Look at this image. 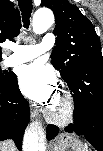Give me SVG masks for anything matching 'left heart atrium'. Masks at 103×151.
I'll use <instances>...</instances> for the list:
<instances>
[{"label": "left heart atrium", "mask_w": 103, "mask_h": 151, "mask_svg": "<svg viewBox=\"0 0 103 151\" xmlns=\"http://www.w3.org/2000/svg\"><path fill=\"white\" fill-rule=\"evenodd\" d=\"M19 86L25 96L40 104H50L57 96L54 72L42 61H35L20 70Z\"/></svg>", "instance_id": "left-heart-atrium-1"}]
</instances>
